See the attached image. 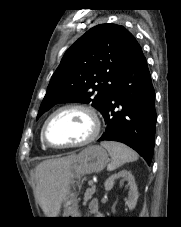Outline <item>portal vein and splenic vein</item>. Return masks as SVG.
<instances>
[{
	"label": "portal vein and splenic vein",
	"instance_id": "18ae733b",
	"mask_svg": "<svg viewBox=\"0 0 181 227\" xmlns=\"http://www.w3.org/2000/svg\"><path fill=\"white\" fill-rule=\"evenodd\" d=\"M89 185H91V186H95V184H94L93 180H90V181H89Z\"/></svg>",
	"mask_w": 181,
	"mask_h": 227
}]
</instances>
